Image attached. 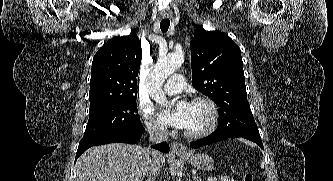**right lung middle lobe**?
<instances>
[{"instance_id": "dd1d6c3e", "label": "right lung middle lobe", "mask_w": 333, "mask_h": 181, "mask_svg": "<svg viewBox=\"0 0 333 181\" xmlns=\"http://www.w3.org/2000/svg\"><path fill=\"white\" fill-rule=\"evenodd\" d=\"M144 130L137 114L136 98L91 107L89 121L80 142Z\"/></svg>"}]
</instances>
